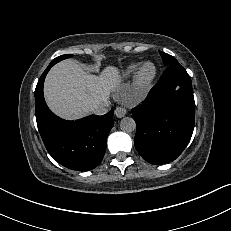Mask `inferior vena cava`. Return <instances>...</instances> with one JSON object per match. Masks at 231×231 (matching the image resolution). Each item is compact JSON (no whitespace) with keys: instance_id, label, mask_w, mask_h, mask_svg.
Returning a JSON list of instances; mask_svg holds the SVG:
<instances>
[{"instance_id":"inferior-vena-cava-1","label":"inferior vena cava","mask_w":231,"mask_h":231,"mask_svg":"<svg viewBox=\"0 0 231 231\" xmlns=\"http://www.w3.org/2000/svg\"><path fill=\"white\" fill-rule=\"evenodd\" d=\"M108 110H109V103L105 102L100 105L94 106L91 109V112L96 115H104L108 112Z\"/></svg>"}]
</instances>
